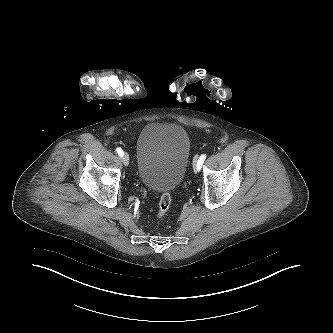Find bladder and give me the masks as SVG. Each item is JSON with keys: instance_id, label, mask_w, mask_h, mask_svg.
<instances>
[{"instance_id": "obj_1", "label": "bladder", "mask_w": 333, "mask_h": 333, "mask_svg": "<svg viewBox=\"0 0 333 333\" xmlns=\"http://www.w3.org/2000/svg\"><path fill=\"white\" fill-rule=\"evenodd\" d=\"M191 142L180 125L155 123L140 133L136 148V169L141 183L156 192L177 188L183 181Z\"/></svg>"}]
</instances>
